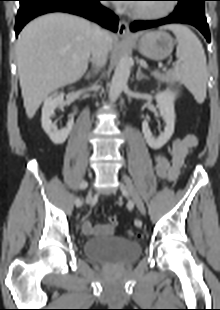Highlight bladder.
I'll list each match as a JSON object with an SVG mask.
<instances>
[{
    "mask_svg": "<svg viewBox=\"0 0 220 310\" xmlns=\"http://www.w3.org/2000/svg\"><path fill=\"white\" fill-rule=\"evenodd\" d=\"M85 255L101 264L127 265L136 261L142 252L140 243L123 237H106L86 240Z\"/></svg>",
    "mask_w": 220,
    "mask_h": 310,
    "instance_id": "obj_1",
    "label": "bladder"
}]
</instances>
